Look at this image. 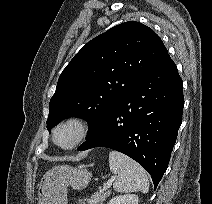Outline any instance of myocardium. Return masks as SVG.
<instances>
[{
    "label": "myocardium",
    "instance_id": "myocardium-1",
    "mask_svg": "<svg viewBox=\"0 0 212 204\" xmlns=\"http://www.w3.org/2000/svg\"><path fill=\"white\" fill-rule=\"evenodd\" d=\"M65 127H73L76 130V137L69 145H61L57 141V134L59 130ZM88 135V127L85 121L77 116H70L61 120L53 129L52 138L55 145L64 150L74 149L80 145Z\"/></svg>",
    "mask_w": 212,
    "mask_h": 204
}]
</instances>
